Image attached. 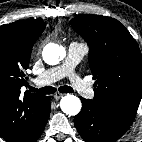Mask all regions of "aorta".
Returning <instances> with one entry per match:
<instances>
[{"instance_id": "1", "label": "aorta", "mask_w": 142, "mask_h": 142, "mask_svg": "<svg viewBox=\"0 0 142 142\" xmlns=\"http://www.w3.org/2000/svg\"><path fill=\"white\" fill-rule=\"evenodd\" d=\"M64 56V49L55 43L46 45L42 52L43 60L49 65L58 64L64 58ZM81 107L82 104L80 99L74 95H66L62 97L60 101L61 110L69 116L77 115L80 112Z\"/></svg>"}]
</instances>
